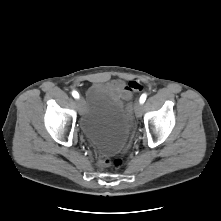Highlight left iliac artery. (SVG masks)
<instances>
[{
	"label": "left iliac artery",
	"mask_w": 221,
	"mask_h": 221,
	"mask_svg": "<svg viewBox=\"0 0 221 221\" xmlns=\"http://www.w3.org/2000/svg\"><path fill=\"white\" fill-rule=\"evenodd\" d=\"M146 97H147L146 94H142L141 97H140V102H141V103H144L145 100H146Z\"/></svg>",
	"instance_id": "1"
}]
</instances>
